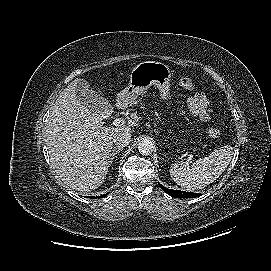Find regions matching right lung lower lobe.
I'll return each mask as SVG.
<instances>
[{"label": "right lung lower lobe", "mask_w": 271, "mask_h": 271, "mask_svg": "<svg viewBox=\"0 0 271 271\" xmlns=\"http://www.w3.org/2000/svg\"><path fill=\"white\" fill-rule=\"evenodd\" d=\"M107 194H108V193H107ZM107 194L102 195V196L93 197V198H101V197H105V196H107ZM89 198H92V197H89Z\"/></svg>", "instance_id": "right-lung-lower-lobe-1"}]
</instances>
